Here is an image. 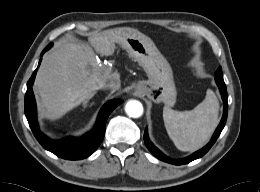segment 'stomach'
I'll list each match as a JSON object with an SVG mask.
<instances>
[{"label": "stomach", "mask_w": 260, "mask_h": 192, "mask_svg": "<svg viewBox=\"0 0 260 192\" xmlns=\"http://www.w3.org/2000/svg\"><path fill=\"white\" fill-rule=\"evenodd\" d=\"M117 43L134 58L147 73L148 80L138 83L136 90L155 103L173 106L177 91L173 72L166 58L146 35L131 28L116 29Z\"/></svg>", "instance_id": "1"}]
</instances>
